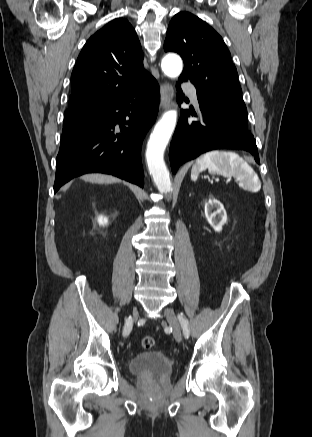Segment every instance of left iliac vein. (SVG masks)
<instances>
[{"mask_svg": "<svg viewBox=\"0 0 312 437\" xmlns=\"http://www.w3.org/2000/svg\"><path fill=\"white\" fill-rule=\"evenodd\" d=\"M164 313H165V319L167 320L168 324L170 325V327L173 330V335H174L175 339L178 342H180L182 339V331H181L180 323H179V320L176 316V313L171 308H166L164 310ZM184 319L187 320L185 317H184Z\"/></svg>", "mask_w": 312, "mask_h": 437, "instance_id": "4c4485c4", "label": "left iliac vein"}]
</instances>
